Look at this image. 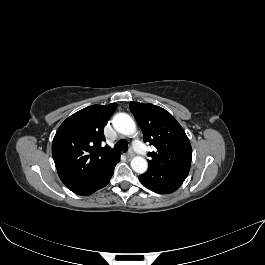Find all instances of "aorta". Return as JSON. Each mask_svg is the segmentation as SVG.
Returning a JSON list of instances; mask_svg holds the SVG:
<instances>
[{
    "label": "aorta",
    "instance_id": "1",
    "mask_svg": "<svg viewBox=\"0 0 265 265\" xmlns=\"http://www.w3.org/2000/svg\"><path fill=\"white\" fill-rule=\"evenodd\" d=\"M113 126L119 133L126 136L133 135L136 132L134 120L126 113L116 114L113 118ZM131 167L135 172L142 174L147 171L148 163L143 157L135 156L131 160Z\"/></svg>",
    "mask_w": 265,
    "mask_h": 265
}]
</instances>
